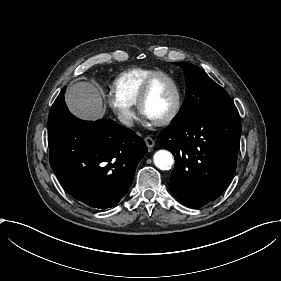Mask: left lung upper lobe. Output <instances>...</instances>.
<instances>
[{
	"mask_svg": "<svg viewBox=\"0 0 281 281\" xmlns=\"http://www.w3.org/2000/svg\"><path fill=\"white\" fill-rule=\"evenodd\" d=\"M185 75L186 96L172 123L200 114L234 107L227 92L201 68L190 63L175 62Z\"/></svg>",
	"mask_w": 281,
	"mask_h": 281,
	"instance_id": "obj_1",
	"label": "left lung upper lobe"
}]
</instances>
